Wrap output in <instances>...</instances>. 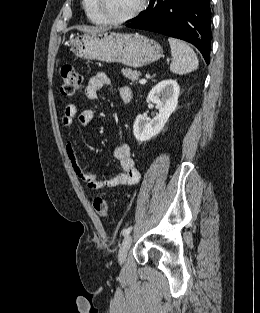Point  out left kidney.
Masks as SVG:
<instances>
[{
	"label": "left kidney",
	"instance_id": "left-kidney-1",
	"mask_svg": "<svg viewBox=\"0 0 260 313\" xmlns=\"http://www.w3.org/2000/svg\"><path fill=\"white\" fill-rule=\"evenodd\" d=\"M179 94L180 87L172 79L163 80L152 88L147 101L156 104L159 113L150 121L141 114L136 117L133 134L138 141H148L161 132L170 115L176 110Z\"/></svg>",
	"mask_w": 260,
	"mask_h": 313
}]
</instances>
